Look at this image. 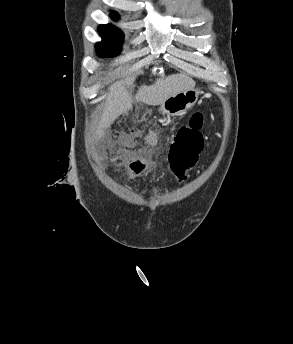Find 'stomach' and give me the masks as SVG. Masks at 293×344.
<instances>
[{
    "label": "stomach",
    "mask_w": 293,
    "mask_h": 344,
    "mask_svg": "<svg viewBox=\"0 0 293 344\" xmlns=\"http://www.w3.org/2000/svg\"><path fill=\"white\" fill-rule=\"evenodd\" d=\"M199 94V90L191 89L171 96L160 105V112L167 117L181 116L194 106Z\"/></svg>",
    "instance_id": "obj_1"
}]
</instances>
